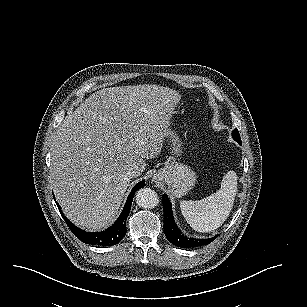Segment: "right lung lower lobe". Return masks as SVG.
Here are the masks:
<instances>
[{
    "label": "right lung lower lobe",
    "instance_id": "98d812e1",
    "mask_svg": "<svg viewBox=\"0 0 307 307\" xmlns=\"http://www.w3.org/2000/svg\"><path fill=\"white\" fill-rule=\"evenodd\" d=\"M145 185V181H141L138 184L134 186L131 193L128 196V199L126 201V204L123 208L122 213L120 214L119 218L115 221V223L102 232H85L78 227H76L74 224H72L62 213L60 206L56 202L59 211L63 218L65 219L68 227L71 229L74 235H76L82 242L90 245H98V246H112L117 243H119L123 237L125 236L127 230H126V219L129 215L132 200L134 197V194L136 190L142 188Z\"/></svg>",
    "mask_w": 307,
    "mask_h": 307
}]
</instances>
